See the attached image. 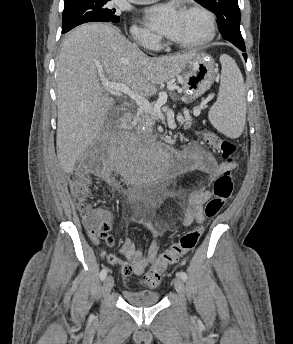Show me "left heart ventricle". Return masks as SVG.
Segmentation results:
<instances>
[{"mask_svg": "<svg viewBox=\"0 0 293 344\" xmlns=\"http://www.w3.org/2000/svg\"><path fill=\"white\" fill-rule=\"evenodd\" d=\"M206 29L205 18L200 13L181 11L169 39L181 42L193 41L201 38L206 33Z\"/></svg>", "mask_w": 293, "mask_h": 344, "instance_id": "b2bd125f", "label": "left heart ventricle"}]
</instances>
